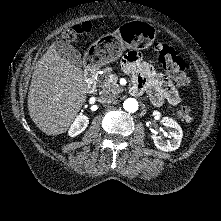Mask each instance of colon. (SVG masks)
<instances>
[{
  "instance_id": "obj_1",
  "label": "colon",
  "mask_w": 221,
  "mask_h": 221,
  "mask_svg": "<svg viewBox=\"0 0 221 221\" xmlns=\"http://www.w3.org/2000/svg\"><path fill=\"white\" fill-rule=\"evenodd\" d=\"M90 31L88 23H82L67 30L63 34V38L67 42L73 41L77 35L84 34ZM159 62L166 69L169 75L177 84L186 85L188 78L185 71V64L183 59L179 56L176 50L166 43H159L156 47ZM192 106H182L178 111V116L183 121H189L192 117Z\"/></svg>"
}]
</instances>
